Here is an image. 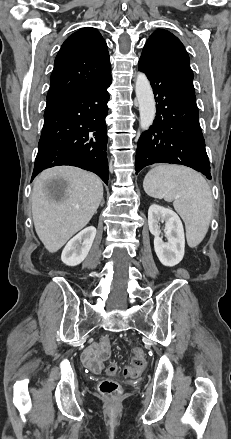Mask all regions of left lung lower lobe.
Segmentation results:
<instances>
[{
	"instance_id": "1",
	"label": "left lung lower lobe",
	"mask_w": 231,
	"mask_h": 439,
	"mask_svg": "<svg viewBox=\"0 0 231 439\" xmlns=\"http://www.w3.org/2000/svg\"><path fill=\"white\" fill-rule=\"evenodd\" d=\"M138 68L151 83L157 111L153 125L139 138L136 173L154 163H172L211 179L195 91L148 52H142Z\"/></svg>"
}]
</instances>
